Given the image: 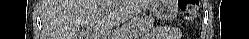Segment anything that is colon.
Returning a JSON list of instances; mask_svg holds the SVG:
<instances>
[{"instance_id": "5ec220e1", "label": "colon", "mask_w": 249, "mask_h": 39, "mask_svg": "<svg viewBox=\"0 0 249 39\" xmlns=\"http://www.w3.org/2000/svg\"><path fill=\"white\" fill-rule=\"evenodd\" d=\"M180 9L186 22H192L199 13V6L196 0H181Z\"/></svg>"}]
</instances>
